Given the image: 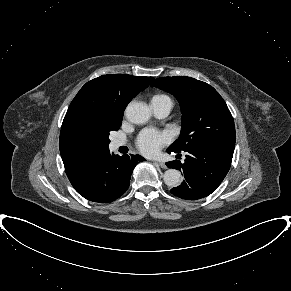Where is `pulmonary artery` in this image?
Listing matches in <instances>:
<instances>
[{"mask_svg":"<svg viewBox=\"0 0 291 291\" xmlns=\"http://www.w3.org/2000/svg\"><path fill=\"white\" fill-rule=\"evenodd\" d=\"M151 108L154 114L159 118L166 117L172 109V101L170 99H152ZM125 144L122 140H115L112 143L113 148H119Z\"/></svg>","mask_w":291,"mask_h":291,"instance_id":"1","label":"pulmonary artery"}]
</instances>
